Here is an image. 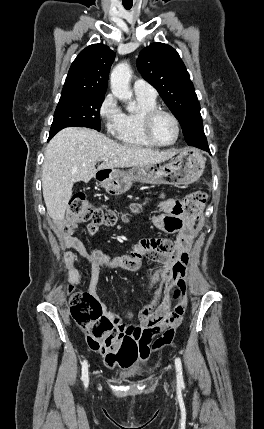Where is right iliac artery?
<instances>
[{
	"label": "right iliac artery",
	"mask_w": 264,
	"mask_h": 429,
	"mask_svg": "<svg viewBox=\"0 0 264 429\" xmlns=\"http://www.w3.org/2000/svg\"><path fill=\"white\" fill-rule=\"evenodd\" d=\"M82 381L84 382L85 387L88 386L89 378H88V362L86 360L82 363Z\"/></svg>",
	"instance_id": "1"
}]
</instances>
